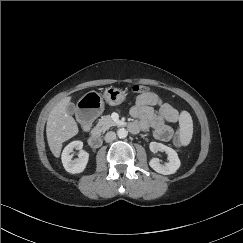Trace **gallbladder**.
<instances>
[{"label": "gallbladder", "instance_id": "1", "mask_svg": "<svg viewBox=\"0 0 243 243\" xmlns=\"http://www.w3.org/2000/svg\"><path fill=\"white\" fill-rule=\"evenodd\" d=\"M76 110H77L76 106L74 105V103L71 102L66 107L67 113L71 115L76 113Z\"/></svg>", "mask_w": 243, "mask_h": 243}]
</instances>
